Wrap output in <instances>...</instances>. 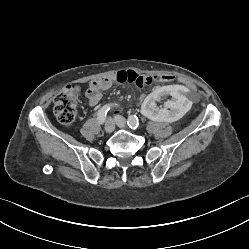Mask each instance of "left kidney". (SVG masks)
<instances>
[{
  "instance_id": "obj_1",
  "label": "left kidney",
  "mask_w": 249,
  "mask_h": 249,
  "mask_svg": "<svg viewBox=\"0 0 249 249\" xmlns=\"http://www.w3.org/2000/svg\"><path fill=\"white\" fill-rule=\"evenodd\" d=\"M138 114L146 122H178L191 108V99L187 97L186 89L178 84L160 86L150 94L139 95ZM159 102L160 106L154 104Z\"/></svg>"
}]
</instances>
